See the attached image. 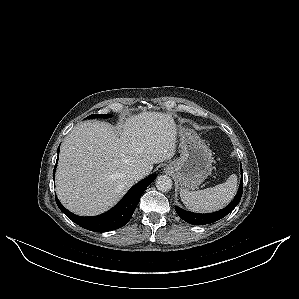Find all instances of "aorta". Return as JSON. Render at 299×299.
I'll use <instances>...</instances> for the list:
<instances>
[{
	"label": "aorta",
	"instance_id": "1",
	"mask_svg": "<svg viewBox=\"0 0 299 299\" xmlns=\"http://www.w3.org/2000/svg\"><path fill=\"white\" fill-rule=\"evenodd\" d=\"M172 180L166 175H160L156 179V188L161 192H168L172 188Z\"/></svg>",
	"mask_w": 299,
	"mask_h": 299
}]
</instances>
